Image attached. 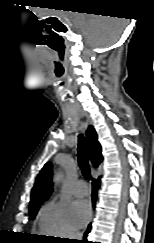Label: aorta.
<instances>
[{
	"label": "aorta",
	"instance_id": "1",
	"mask_svg": "<svg viewBox=\"0 0 154 243\" xmlns=\"http://www.w3.org/2000/svg\"><path fill=\"white\" fill-rule=\"evenodd\" d=\"M64 172L63 171H61V172H59L56 176H55V180L56 181H61L63 178H64Z\"/></svg>",
	"mask_w": 154,
	"mask_h": 243
}]
</instances>
